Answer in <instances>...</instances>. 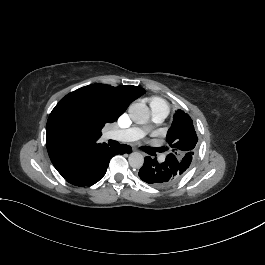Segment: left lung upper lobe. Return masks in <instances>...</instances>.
I'll return each instance as SVG.
<instances>
[{
  "instance_id": "5c2ea615",
  "label": "left lung upper lobe",
  "mask_w": 265,
  "mask_h": 265,
  "mask_svg": "<svg viewBox=\"0 0 265 265\" xmlns=\"http://www.w3.org/2000/svg\"><path fill=\"white\" fill-rule=\"evenodd\" d=\"M166 139L168 147L162 149L169 150V155L177 158L183 167L184 176L193 160L198 141L193 121L187 113L180 109L176 111Z\"/></svg>"
}]
</instances>
